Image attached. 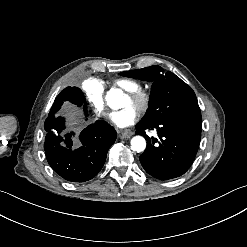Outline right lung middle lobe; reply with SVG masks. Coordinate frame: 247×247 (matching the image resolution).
I'll use <instances>...</instances> for the list:
<instances>
[{
    "mask_svg": "<svg viewBox=\"0 0 247 247\" xmlns=\"http://www.w3.org/2000/svg\"><path fill=\"white\" fill-rule=\"evenodd\" d=\"M73 88L75 89V91L78 94V96L81 99V101L83 103H85V98H84V95H83L82 91L79 88H77V87H73Z\"/></svg>",
    "mask_w": 247,
    "mask_h": 247,
    "instance_id": "obj_1",
    "label": "right lung middle lobe"
}]
</instances>
